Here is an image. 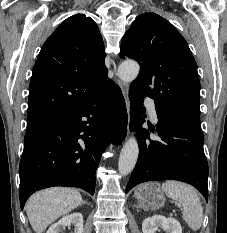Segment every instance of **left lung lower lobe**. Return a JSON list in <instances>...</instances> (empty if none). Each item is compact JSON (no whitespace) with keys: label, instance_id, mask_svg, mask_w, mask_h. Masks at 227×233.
Segmentation results:
<instances>
[{"label":"left lung lower lobe","instance_id":"1","mask_svg":"<svg viewBox=\"0 0 227 233\" xmlns=\"http://www.w3.org/2000/svg\"><path fill=\"white\" fill-rule=\"evenodd\" d=\"M144 96L129 89L130 129L137 132L140 152L126 193L137 184L147 181L179 180L196 187L208 201V163L203 150L202 131L155 105L158 124L156 130H149L161 139L151 140L149 130L141 127L145 122Z\"/></svg>","mask_w":227,"mask_h":233}]
</instances>
